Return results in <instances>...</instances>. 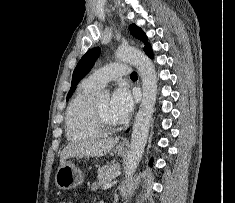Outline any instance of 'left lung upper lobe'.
I'll return each mask as SVG.
<instances>
[{
    "label": "left lung upper lobe",
    "mask_w": 235,
    "mask_h": 203,
    "mask_svg": "<svg viewBox=\"0 0 235 203\" xmlns=\"http://www.w3.org/2000/svg\"><path fill=\"white\" fill-rule=\"evenodd\" d=\"M129 29L133 36L137 37L145 43L144 51L150 48V44L147 43V37L141 28L135 24H132L130 25ZM100 51L101 49L99 47L92 48L80 59L73 72L71 88L67 94V99H69L73 94L78 82L89 73L95 61L99 57Z\"/></svg>",
    "instance_id": "obj_1"
}]
</instances>
